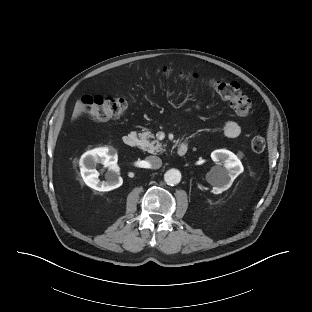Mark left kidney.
<instances>
[{"label": "left kidney", "mask_w": 312, "mask_h": 312, "mask_svg": "<svg viewBox=\"0 0 312 312\" xmlns=\"http://www.w3.org/2000/svg\"><path fill=\"white\" fill-rule=\"evenodd\" d=\"M211 158L215 162L223 163V167H212L207 173L210 183L214 186L212 193L220 194L230 188L234 179L244 171V168L239 158L229 150H214Z\"/></svg>", "instance_id": "obj_1"}]
</instances>
